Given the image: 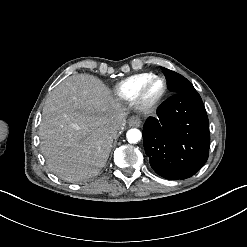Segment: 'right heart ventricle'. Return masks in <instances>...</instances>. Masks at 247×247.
Returning a JSON list of instances; mask_svg holds the SVG:
<instances>
[{
    "mask_svg": "<svg viewBox=\"0 0 247 247\" xmlns=\"http://www.w3.org/2000/svg\"><path fill=\"white\" fill-rule=\"evenodd\" d=\"M152 76L155 74L143 73L128 77L114 87L113 93L120 102H132L139 86Z\"/></svg>",
    "mask_w": 247,
    "mask_h": 247,
    "instance_id": "e07e8e85",
    "label": "right heart ventricle"
}]
</instances>
